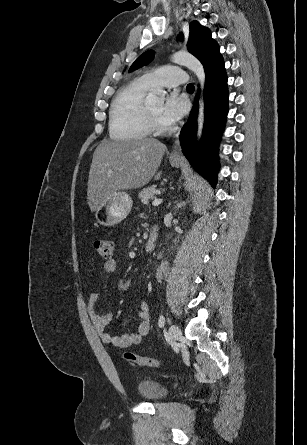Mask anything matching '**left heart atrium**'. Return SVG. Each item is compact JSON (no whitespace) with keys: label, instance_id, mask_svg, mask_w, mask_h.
Listing matches in <instances>:
<instances>
[{"label":"left heart atrium","instance_id":"1","mask_svg":"<svg viewBox=\"0 0 307 445\" xmlns=\"http://www.w3.org/2000/svg\"><path fill=\"white\" fill-rule=\"evenodd\" d=\"M186 110V100L177 92L171 91L165 97L161 119L167 125L173 124L184 116Z\"/></svg>","mask_w":307,"mask_h":445}]
</instances>
